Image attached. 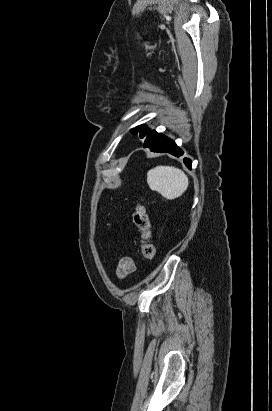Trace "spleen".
Masks as SVG:
<instances>
[{
	"instance_id": "obj_1",
	"label": "spleen",
	"mask_w": 272,
	"mask_h": 411,
	"mask_svg": "<svg viewBox=\"0 0 272 411\" xmlns=\"http://www.w3.org/2000/svg\"><path fill=\"white\" fill-rule=\"evenodd\" d=\"M147 183L151 190L158 192L168 200H173L186 191L188 177L179 168L157 166L148 171Z\"/></svg>"
}]
</instances>
